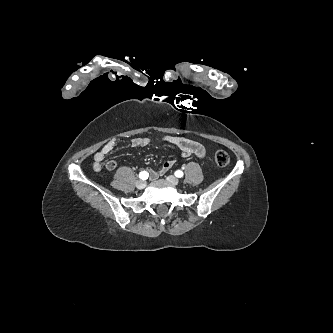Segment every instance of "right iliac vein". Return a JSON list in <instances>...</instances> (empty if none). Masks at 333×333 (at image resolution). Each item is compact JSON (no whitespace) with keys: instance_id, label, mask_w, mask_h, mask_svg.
<instances>
[{"instance_id":"obj_1","label":"right iliac vein","mask_w":333,"mask_h":333,"mask_svg":"<svg viewBox=\"0 0 333 333\" xmlns=\"http://www.w3.org/2000/svg\"><path fill=\"white\" fill-rule=\"evenodd\" d=\"M145 186H146V182L145 181H143V180H137L136 187L138 189H143V188H145Z\"/></svg>"}]
</instances>
